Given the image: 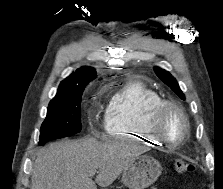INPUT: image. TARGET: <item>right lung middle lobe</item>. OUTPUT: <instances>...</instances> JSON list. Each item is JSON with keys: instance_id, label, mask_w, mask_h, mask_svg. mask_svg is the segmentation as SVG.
<instances>
[{"instance_id": "1", "label": "right lung middle lobe", "mask_w": 223, "mask_h": 189, "mask_svg": "<svg viewBox=\"0 0 223 189\" xmlns=\"http://www.w3.org/2000/svg\"><path fill=\"white\" fill-rule=\"evenodd\" d=\"M83 91L69 96H55L48 106L47 116L40 129L39 145L81 131V98Z\"/></svg>"}]
</instances>
